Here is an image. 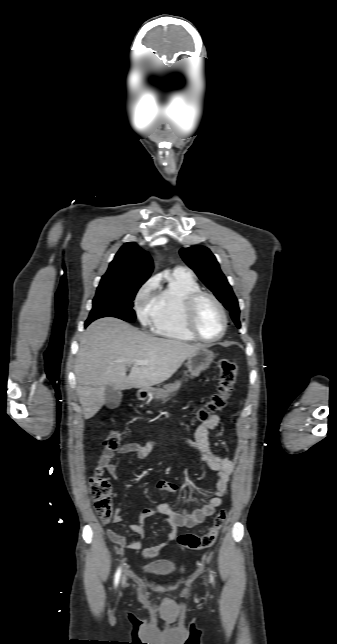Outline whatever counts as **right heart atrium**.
<instances>
[{"mask_svg": "<svg viewBox=\"0 0 337 644\" xmlns=\"http://www.w3.org/2000/svg\"><path fill=\"white\" fill-rule=\"evenodd\" d=\"M157 280L151 278L138 291L135 298V309L139 320L143 324L151 322L155 312V289Z\"/></svg>", "mask_w": 337, "mask_h": 644, "instance_id": "right-heart-atrium-1", "label": "right heart atrium"}]
</instances>
